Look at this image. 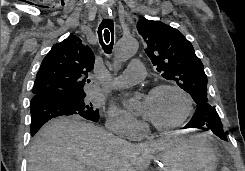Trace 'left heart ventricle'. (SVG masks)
<instances>
[{
	"mask_svg": "<svg viewBox=\"0 0 245 171\" xmlns=\"http://www.w3.org/2000/svg\"><path fill=\"white\" fill-rule=\"evenodd\" d=\"M149 101L152 122L167 125L178 120L185 109L181 95L174 90H164L145 97Z\"/></svg>",
	"mask_w": 245,
	"mask_h": 171,
	"instance_id": "left-heart-ventricle-1",
	"label": "left heart ventricle"
}]
</instances>
